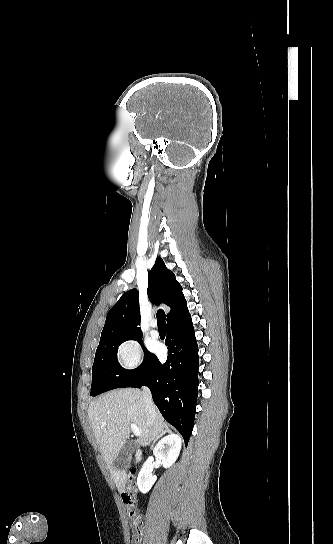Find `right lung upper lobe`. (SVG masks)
I'll return each mask as SVG.
<instances>
[{
	"instance_id": "right-lung-upper-lobe-1",
	"label": "right lung upper lobe",
	"mask_w": 333,
	"mask_h": 544,
	"mask_svg": "<svg viewBox=\"0 0 333 544\" xmlns=\"http://www.w3.org/2000/svg\"><path fill=\"white\" fill-rule=\"evenodd\" d=\"M147 294L154 304L164 303L171 308L167 314V322L188 313L187 302L182 287L174 274L167 269L161 257L156 259L149 272ZM139 293L136 289L125 292L117 303L109 310L101 339L117 336L140 337Z\"/></svg>"
}]
</instances>
